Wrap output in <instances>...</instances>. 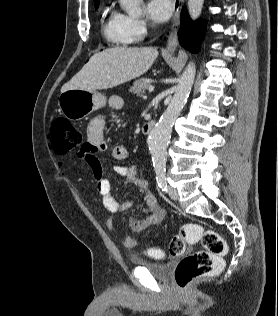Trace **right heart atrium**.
Listing matches in <instances>:
<instances>
[{
	"label": "right heart atrium",
	"instance_id": "obj_1",
	"mask_svg": "<svg viewBox=\"0 0 278 316\" xmlns=\"http://www.w3.org/2000/svg\"><path fill=\"white\" fill-rule=\"evenodd\" d=\"M119 22L125 36L130 42L140 41L147 33V22L123 13H118Z\"/></svg>",
	"mask_w": 278,
	"mask_h": 316
}]
</instances>
